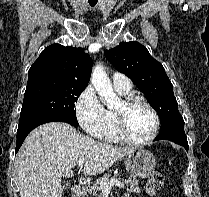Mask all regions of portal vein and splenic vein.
Wrapping results in <instances>:
<instances>
[{
  "label": "portal vein and splenic vein",
  "instance_id": "18ae733b",
  "mask_svg": "<svg viewBox=\"0 0 209 197\" xmlns=\"http://www.w3.org/2000/svg\"><path fill=\"white\" fill-rule=\"evenodd\" d=\"M84 163H85V159L84 158L79 159L78 167H82L84 165ZM114 185L119 187V188H123L124 187V183L123 182H120V181L115 180V179L111 180L110 182L109 181H100V188L104 192H109Z\"/></svg>",
  "mask_w": 209,
  "mask_h": 197
}]
</instances>
